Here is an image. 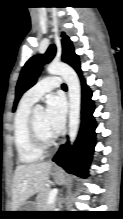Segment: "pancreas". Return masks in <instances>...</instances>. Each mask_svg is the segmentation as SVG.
<instances>
[{"label": "pancreas", "mask_w": 123, "mask_h": 219, "mask_svg": "<svg viewBox=\"0 0 123 219\" xmlns=\"http://www.w3.org/2000/svg\"><path fill=\"white\" fill-rule=\"evenodd\" d=\"M50 194L49 188H44L39 195L37 196V200L35 203L36 210L38 211H51V208H53L52 205L48 204V196Z\"/></svg>", "instance_id": "cf45deb5"}]
</instances>
